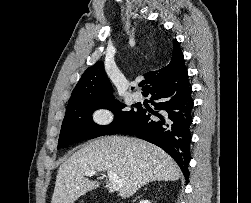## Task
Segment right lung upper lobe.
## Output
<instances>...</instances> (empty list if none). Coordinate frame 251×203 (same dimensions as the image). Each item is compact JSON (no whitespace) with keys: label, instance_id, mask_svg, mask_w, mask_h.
Listing matches in <instances>:
<instances>
[{"label":"right lung upper lobe","instance_id":"obj_1","mask_svg":"<svg viewBox=\"0 0 251 203\" xmlns=\"http://www.w3.org/2000/svg\"><path fill=\"white\" fill-rule=\"evenodd\" d=\"M183 66V53L179 47V43L174 39L170 62L167 66L146 74L147 85L143 89V94L151 87L170 77ZM106 98H113L112 87L106 76L103 62L99 61L83 73L71 94L69 104Z\"/></svg>","mask_w":251,"mask_h":203}]
</instances>
